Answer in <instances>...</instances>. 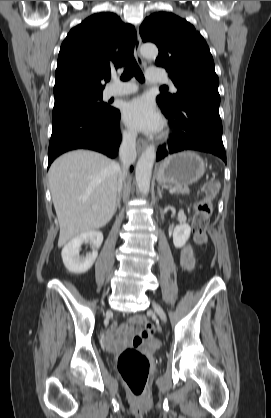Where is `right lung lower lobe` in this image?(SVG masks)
I'll use <instances>...</instances> for the list:
<instances>
[{"mask_svg": "<svg viewBox=\"0 0 271 418\" xmlns=\"http://www.w3.org/2000/svg\"><path fill=\"white\" fill-rule=\"evenodd\" d=\"M119 120L120 111L113 108L69 115L53 121L48 168L56 157L74 149H91L115 157L121 142Z\"/></svg>", "mask_w": 271, "mask_h": 418, "instance_id": "98d812e1", "label": "right lung lower lobe"}]
</instances>
